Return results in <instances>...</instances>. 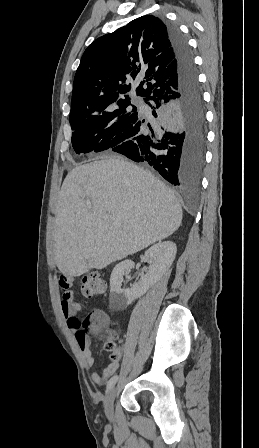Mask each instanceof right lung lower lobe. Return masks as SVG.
<instances>
[{
    "label": "right lung lower lobe",
    "mask_w": 259,
    "mask_h": 448,
    "mask_svg": "<svg viewBox=\"0 0 259 448\" xmlns=\"http://www.w3.org/2000/svg\"><path fill=\"white\" fill-rule=\"evenodd\" d=\"M164 24L177 65V86L145 101L152 116L143 119L139 115L111 150L149 164L174 186L196 187L206 144L202 92L187 40L176 26ZM148 121L151 125L147 126Z\"/></svg>",
    "instance_id": "right-lung-lower-lobe-1"
}]
</instances>
